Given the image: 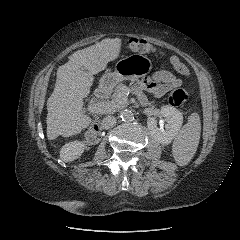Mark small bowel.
I'll list each match as a JSON object with an SVG mask.
<instances>
[{
    "mask_svg": "<svg viewBox=\"0 0 240 240\" xmlns=\"http://www.w3.org/2000/svg\"><path fill=\"white\" fill-rule=\"evenodd\" d=\"M170 62L173 66V70L184 76H190L187 66L177 57L172 56ZM174 71L162 70L154 74L152 80H147L144 83L134 81L132 83L133 92L138 95L142 103H146V98L142 94V89H146L152 93L155 97H162L172 89H176L181 86V80L175 75Z\"/></svg>",
    "mask_w": 240,
    "mask_h": 240,
    "instance_id": "small-bowel-1",
    "label": "small bowel"
}]
</instances>
